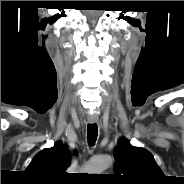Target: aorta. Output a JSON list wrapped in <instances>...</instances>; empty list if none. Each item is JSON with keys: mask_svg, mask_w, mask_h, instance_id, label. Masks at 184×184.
<instances>
[{"mask_svg": "<svg viewBox=\"0 0 184 184\" xmlns=\"http://www.w3.org/2000/svg\"><path fill=\"white\" fill-rule=\"evenodd\" d=\"M112 162L110 156H100L94 158L88 165L89 174H101Z\"/></svg>", "mask_w": 184, "mask_h": 184, "instance_id": "1", "label": "aorta"}]
</instances>
